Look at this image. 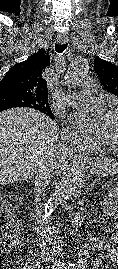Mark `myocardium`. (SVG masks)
<instances>
[{
    "mask_svg": "<svg viewBox=\"0 0 118 269\" xmlns=\"http://www.w3.org/2000/svg\"><path fill=\"white\" fill-rule=\"evenodd\" d=\"M115 113H118V105H113L109 109L107 115H112V114H115ZM101 145L108 146L111 149H113L114 151L118 152V143H116V142L110 141L108 139H101L100 138V139L97 140V146L95 148L97 149Z\"/></svg>",
    "mask_w": 118,
    "mask_h": 269,
    "instance_id": "obj_1",
    "label": "myocardium"
}]
</instances>
